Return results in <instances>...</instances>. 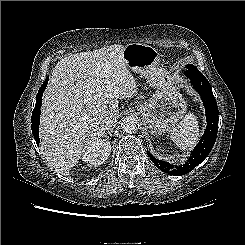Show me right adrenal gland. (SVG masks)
Segmentation results:
<instances>
[{
	"instance_id": "1",
	"label": "right adrenal gland",
	"mask_w": 245,
	"mask_h": 245,
	"mask_svg": "<svg viewBox=\"0 0 245 245\" xmlns=\"http://www.w3.org/2000/svg\"><path fill=\"white\" fill-rule=\"evenodd\" d=\"M104 136L105 137H107V136H110L111 137L112 136V130L108 131L106 134H104Z\"/></svg>"
}]
</instances>
